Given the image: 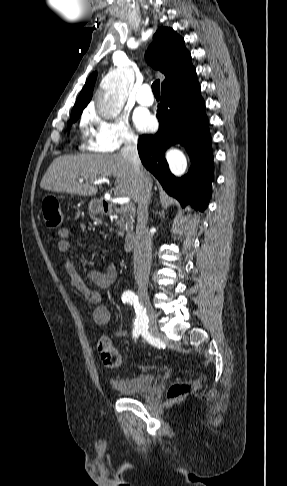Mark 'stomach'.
<instances>
[{"instance_id": "0dacf381", "label": "stomach", "mask_w": 287, "mask_h": 486, "mask_svg": "<svg viewBox=\"0 0 287 486\" xmlns=\"http://www.w3.org/2000/svg\"><path fill=\"white\" fill-rule=\"evenodd\" d=\"M89 210L92 213H100L102 212V204L99 199H92L89 203Z\"/></svg>"}]
</instances>
